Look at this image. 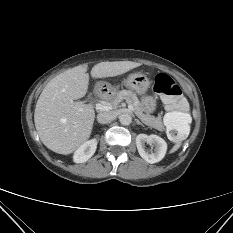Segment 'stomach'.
<instances>
[{
  "mask_svg": "<svg viewBox=\"0 0 233 233\" xmlns=\"http://www.w3.org/2000/svg\"><path fill=\"white\" fill-rule=\"evenodd\" d=\"M123 85L142 96L140 104L144 112L149 114L155 111L156 99L153 96L146 95V92L150 87V81L144 73L136 72L128 75V77L123 80ZM98 87L99 89H106L108 92L117 89V87L111 86L106 82H99Z\"/></svg>",
  "mask_w": 233,
  "mask_h": 233,
  "instance_id": "0dacf381",
  "label": "stomach"
}]
</instances>
